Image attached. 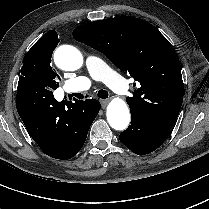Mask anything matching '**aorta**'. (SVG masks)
Here are the masks:
<instances>
[{
	"mask_svg": "<svg viewBox=\"0 0 209 209\" xmlns=\"http://www.w3.org/2000/svg\"><path fill=\"white\" fill-rule=\"evenodd\" d=\"M54 61L62 70L75 71L81 68L83 56L77 48L71 45H62L56 49ZM106 117L113 129L119 131L126 129L130 122L127 104L120 98H114L107 107Z\"/></svg>",
	"mask_w": 209,
	"mask_h": 209,
	"instance_id": "762f6f07",
	"label": "aorta"
}]
</instances>
